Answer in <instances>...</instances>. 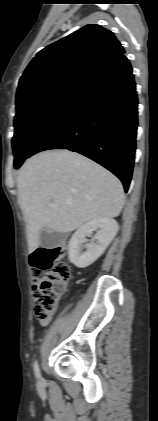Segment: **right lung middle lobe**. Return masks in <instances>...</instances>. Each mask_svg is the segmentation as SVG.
I'll use <instances>...</instances> for the list:
<instances>
[{"label": "right lung middle lobe", "mask_w": 158, "mask_h": 421, "mask_svg": "<svg viewBox=\"0 0 158 421\" xmlns=\"http://www.w3.org/2000/svg\"><path fill=\"white\" fill-rule=\"evenodd\" d=\"M84 85L68 84L48 88L16 102L12 148L18 169L57 119L66 111Z\"/></svg>", "instance_id": "right-lung-middle-lobe-1"}]
</instances>
